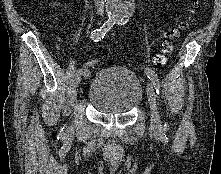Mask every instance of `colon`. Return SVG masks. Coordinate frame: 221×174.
<instances>
[{
    "label": "colon",
    "instance_id": "1",
    "mask_svg": "<svg viewBox=\"0 0 221 174\" xmlns=\"http://www.w3.org/2000/svg\"><path fill=\"white\" fill-rule=\"evenodd\" d=\"M200 5L201 3L199 0H194L191 3V8H190L191 13L187 17H185L182 21L173 25L166 31V35L170 40L177 38L179 34L181 33V31L193 21L194 19L193 14L198 8H200ZM172 50H173L172 43H169V42L165 43L162 47L161 53L154 57V64L156 66H163L167 61L166 55L171 53ZM97 64H98V61L96 59H89L86 62V65L90 68L95 67Z\"/></svg>",
    "mask_w": 221,
    "mask_h": 174
}]
</instances>
